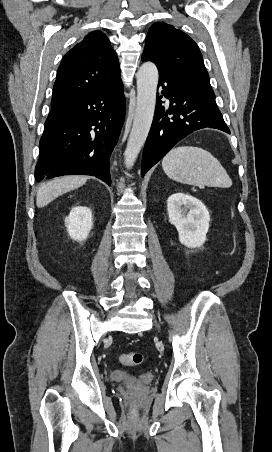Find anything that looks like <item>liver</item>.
<instances>
[{
  "label": "liver",
  "instance_id": "6515ba94",
  "mask_svg": "<svg viewBox=\"0 0 272 452\" xmlns=\"http://www.w3.org/2000/svg\"><path fill=\"white\" fill-rule=\"evenodd\" d=\"M87 179L85 176L70 175L55 178L43 184L37 192V207H44L60 195L83 186Z\"/></svg>",
  "mask_w": 272,
  "mask_h": 452
}]
</instances>
